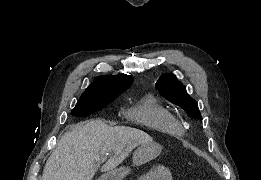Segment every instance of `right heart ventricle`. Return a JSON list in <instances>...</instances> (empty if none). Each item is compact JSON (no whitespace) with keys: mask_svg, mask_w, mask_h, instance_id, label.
Instances as JSON below:
<instances>
[{"mask_svg":"<svg viewBox=\"0 0 261 180\" xmlns=\"http://www.w3.org/2000/svg\"><path fill=\"white\" fill-rule=\"evenodd\" d=\"M122 115V121H141V126L126 127H140L141 131L149 133H165V138L138 139H156V142L180 141L186 133L178 117L151 94L125 105Z\"/></svg>","mask_w":261,"mask_h":180,"instance_id":"1","label":"right heart ventricle"}]
</instances>
